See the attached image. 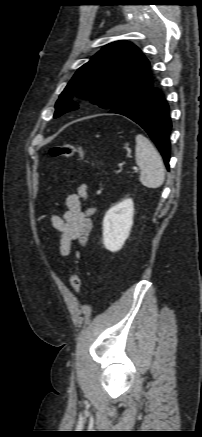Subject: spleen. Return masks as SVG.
<instances>
[{
    "mask_svg": "<svg viewBox=\"0 0 202 437\" xmlns=\"http://www.w3.org/2000/svg\"><path fill=\"white\" fill-rule=\"evenodd\" d=\"M136 163L139 166L140 182L147 188H159L165 179V168L160 154L142 134L136 136Z\"/></svg>",
    "mask_w": 202,
    "mask_h": 437,
    "instance_id": "spleen-1",
    "label": "spleen"
}]
</instances>
